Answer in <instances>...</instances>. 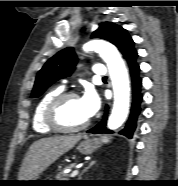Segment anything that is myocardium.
Listing matches in <instances>:
<instances>
[{"label":"myocardium","instance_id":"myocardium-1","mask_svg":"<svg viewBox=\"0 0 178 186\" xmlns=\"http://www.w3.org/2000/svg\"><path fill=\"white\" fill-rule=\"evenodd\" d=\"M79 98V95L75 92H62L55 96L45 107L43 113V121L45 125L52 131L61 133H73L86 129L90 125V119L83 124L75 127L63 126L57 118L60 107L69 99Z\"/></svg>","mask_w":178,"mask_h":186}]
</instances>
